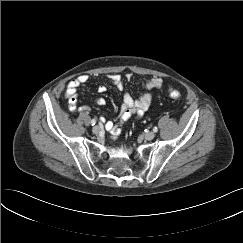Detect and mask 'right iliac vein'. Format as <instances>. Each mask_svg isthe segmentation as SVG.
<instances>
[{"label": "right iliac vein", "instance_id": "right-iliac-vein-1", "mask_svg": "<svg viewBox=\"0 0 243 243\" xmlns=\"http://www.w3.org/2000/svg\"><path fill=\"white\" fill-rule=\"evenodd\" d=\"M92 131L94 134H99L101 131V128L99 126H95V127H93Z\"/></svg>", "mask_w": 243, "mask_h": 243}]
</instances>
